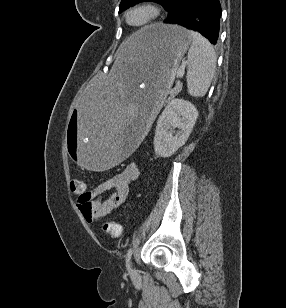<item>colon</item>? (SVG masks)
I'll return each instance as SVG.
<instances>
[{"instance_id":"obj_1","label":"colon","mask_w":286,"mask_h":308,"mask_svg":"<svg viewBox=\"0 0 286 308\" xmlns=\"http://www.w3.org/2000/svg\"><path fill=\"white\" fill-rule=\"evenodd\" d=\"M71 191L74 193L82 192L84 190V181L81 179H72L70 183ZM103 232L112 237L117 238L122 233V227L116 222H105L102 224Z\"/></svg>"}]
</instances>
